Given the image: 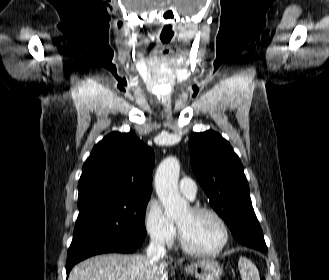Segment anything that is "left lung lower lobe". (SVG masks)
I'll return each mask as SVG.
<instances>
[{
    "instance_id": "1",
    "label": "left lung lower lobe",
    "mask_w": 329,
    "mask_h": 280,
    "mask_svg": "<svg viewBox=\"0 0 329 280\" xmlns=\"http://www.w3.org/2000/svg\"><path fill=\"white\" fill-rule=\"evenodd\" d=\"M262 233L259 223H254L246 228H238L234 233L233 236L240 241L243 237L247 236L248 234H256ZM261 251H267V247H253Z\"/></svg>"
}]
</instances>
